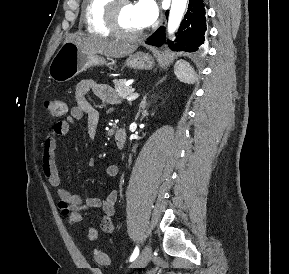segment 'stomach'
I'll return each instance as SVG.
<instances>
[{
  "label": "stomach",
  "mask_w": 289,
  "mask_h": 274,
  "mask_svg": "<svg viewBox=\"0 0 289 274\" xmlns=\"http://www.w3.org/2000/svg\"><path fill=\"white\" fill-rule=\"evenodd\" d=\"M107 60L81 49L73 42H64L49 65V77L58 83L67 82L92 66L116 63L114 60ZM153 65V58L144 52L130 54L124 63L126 67L139 70L152 69Z\"/></svg>",
  "instance_id": "1"
}]
</instances>
